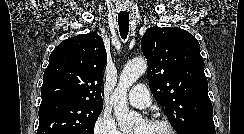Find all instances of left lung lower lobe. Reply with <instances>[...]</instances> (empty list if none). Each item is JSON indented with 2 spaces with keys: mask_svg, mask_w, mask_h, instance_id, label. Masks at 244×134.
I'll list each match as a JSON object with an SVG mask.
<instances>
[{
  "mask_svg": "<svg viewBox=\"0 0 244 134\" xmlns=\"http://www.w3.org/2000/svg\"><path fill=\"white\" fill-rule=\"evenodd\" d=\"M188 134H216V132L214 128L204 127V128L194 129Z\"/></svg>",
  "mask_w": 244,
  "mask_h": 134,
  "instance_id": "obj_1",
  "label": "left lung lower lobe"
}]
</instances>
